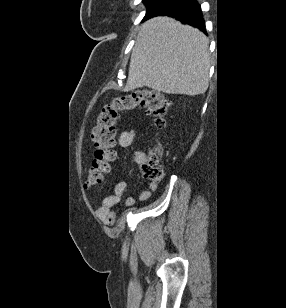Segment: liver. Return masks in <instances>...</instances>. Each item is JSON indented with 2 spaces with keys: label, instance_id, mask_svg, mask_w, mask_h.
I'll return each mask as SVG.
<instances>
[{
  "label": "liver",
  "instance_id": "liver-1",
  "mask_svg": "<svg viewBox=\"0 0 286 308\" xmlns=\"http://www.w3.org/2000/svg\"><path fill=\"white\" fill-rule=\"evenodd\" d=\"M209 40L198 29L169 17L140 26L132 51L126 91L148 87L195 96L209 85Z\"/></svg>",
  "mask_w": 286,
  "mask_h": 308
}]
</instances>
